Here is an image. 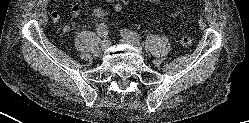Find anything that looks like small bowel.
Segmentation results:
<instances>
[{
	"mask_svg": "<svg viewBox=\"0 0 249 123\" xmlns=\"http://www.w3.org/2000/svg\"><path fill=\"white\" fill-rule=\"evenodd\" d=\"M130 0H106V2L115 5L116 9H120L126 5H128ZM152 3L157 4L159 3L161 0H150ZM183 9H180L174 13L171 14L172 18H176L179 15H181L183 13ZM81 13L80 7L77 4L72 5L71 7V11L70 14L72 17H78ZM92 13L95 17L97 18H103L107 15V11L105 9L99 8V7H95L92 10ZM61 16L57 11H53L50 13V19L52 22H58L60 20ZM100 24L97 25V28ZM69 26H64L63 27V32H68L69 31Z\"/></svg>",
	"mask_w": 249,
	"mask_h": 123,
	"instance_id": "small-bowel-1",
	"label": "small bowel"
}]
</instances>
